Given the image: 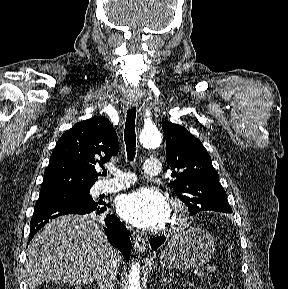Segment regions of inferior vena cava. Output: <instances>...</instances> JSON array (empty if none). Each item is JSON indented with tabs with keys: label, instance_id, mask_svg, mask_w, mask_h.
I'll use <instances>...</instances> for the list:
<instances>
[{
	"label": "inferior vena cava",
	"instance_id": "1",
	"mask_svg": "<svg viewBox=\"0 0 288 289\" xmlns=\"http://www.w3.org/2000/svg\"><path fill=\"white\" fill-rule=\"evenodd\" d=\"M118 264L111 259L98 274V284L100 289H114Z\"/></svg>",
	"mask_w": 288,
	"mask_h": 289
}]
</instances>
